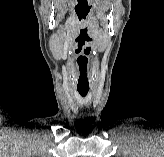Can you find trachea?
Returning <instances> with one entry per match:
<instances>
[{
    "label": "trachea",
    "instance_id": "3493384b",
    "mask_svg": "<svg viewBox=\"0 0 164 157\" xmlns=\"http://www.w3.org/2000/svg\"><path fill=\"white\" fill-rule=\"evenodd\" d=\"M88 91H89V89H78V92L82 97H85L87 95Z\"/></svg>",
    "mask_w": 164,
    "mask_h": 157
}]
</instances>
